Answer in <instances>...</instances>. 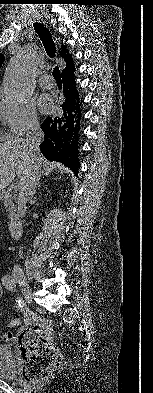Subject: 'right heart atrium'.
<instances>
[{
  "label": "right heart atrium",
  "instance_id": "obj_1",
  "mask_svg": "<svg viewBox=\"0 0 153 393\" xmlns=\"http://www.w3.org/2000/svg\"><path fill=\"white\" fill-rule=\"evenodd\" d=\"M0 119L13 136L29 133L39 125L35 106L31 102L7 101L0 110Z\"/></svg>",
  "mask_w": 153,
  "mask_h": 393
}]
</instances>
